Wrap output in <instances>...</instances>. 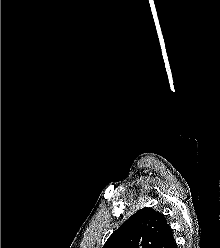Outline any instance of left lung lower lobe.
<instances>
[{
  "mask_svg": "<svg viewBox=\"0 0 220 248\" xmlns=\"http://www.w3.org/2000/svg\"><path fill=\"white\" fill-rule=\"evenodd\" d=\"M168 248H177L175 240L169 245Z\"/></svg>",
  "mask_w": 220,
  "mask_h": 248,
  "instance_id": "1",
  "label": "left lung lower lobe"
}]
</instances>
